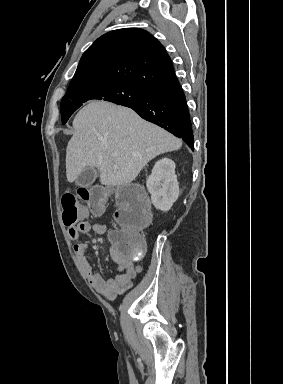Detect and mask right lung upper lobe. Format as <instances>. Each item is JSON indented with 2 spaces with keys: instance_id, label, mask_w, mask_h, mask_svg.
I'll return each mask as SVG.
<instances>
[{
  "instance_id": "obj_1",
  "label": "right lung upper lobe",
  "mask_w": 283,
  "mask_h": 384,
  "mask_svg": "<svg viewBox=\"0 0 283 384\" xmlns=\"http://www.w3.org/2000/svg\"><path fill=\"white\" fill-rule=\"evenodd\" d=\"M174 76L164 46L143 29L126 28L104 34L84 52L68 89L123 82L149 90Z\"/></svg>"
}]
</instances>
